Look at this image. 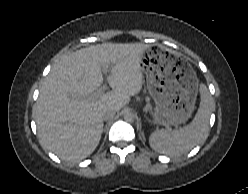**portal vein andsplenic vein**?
I'll use <instances>...</instances> for the list:
<instances>
[{
	"mask_svg": "<svg viewBox=\"0 0 248 194\" xmlns=\"http://www.w3.org/2000/svg\"><path fill=\"white\" fill-rule=\"evenodd\" d=\"M102 71H103L104 74L107 75L108 65H104V66L102 67ZM107 80H109V76H108V75H107ZM107 89H108V86H107V85H103L99 90H97V91L92 95V97H93L94 99L100 98V97L103 95V93H104Z\"/></svg>",
	"mask_w": 248,
	"mask_h": 194,
	"instance_id": "18ae733b",
	"label": "portal vein and splenic vein"
}]
</instances>
